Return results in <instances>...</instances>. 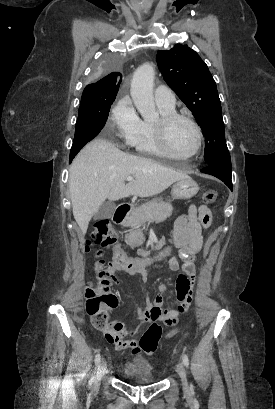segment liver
I'll return each mask as SVG.
<instances>
[{
    "label": "liver",
    "instance_id": "6515ba94",
    "mask_svg": "<svg viewBox=\"0 0 275 409\" xmlns=\"http://www.w3.org/2000/svg\"><path fill=\"white\" fill-rule=\"evenodd\" d=\"M127 176H134V180L125 184ZM187 176L186 172H176L151 158L127 154L98 136L78 152L70 166L73 217L85 235L89 221L106 198L118 200L130 194L153 196Z\"/></svg>",
    "mask_w": 275,
    "mask_h": 409
}]
</instances>
